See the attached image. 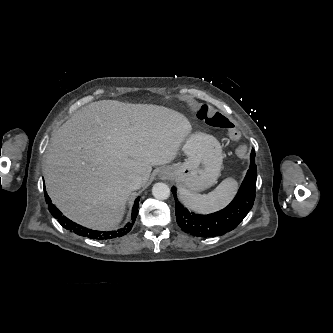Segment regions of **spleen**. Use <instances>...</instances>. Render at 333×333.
Wrapping results in <instances>:
<instances>
[{
    "mask_svg": "<svg viewBox=\"0 0 333 333\" xmlns=\"http://www.w3.org/2000/svg\"><path fill=\"white\" fill-rule=\"evenodd\" d=\"M237 189V181L233 178H226L208 194H195L182 188L179 196L188 209L199 213H209L224 208L232 200Z\"/></svg>",
    "mask_w": 333,
    "mask_h": 333,
    "instance_id": "obj_1",
    "label": "spleen"
}]
</instances>
